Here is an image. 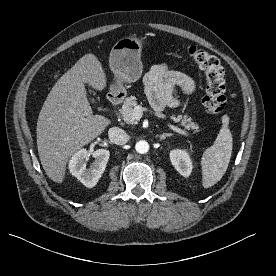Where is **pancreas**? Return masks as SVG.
Wrapping results in <instances>:
<instances>
[{
	"instance_id": "pancreas-1",
	"label": "pancreas",
	"mask_w": 276,
	"mask_h": 276,
	"mask_svg": "<svg viewBox=\"0 0 276 276\" xmlns=\"http://www.w3.org/2000/svg\"><path fill=\"white\" fill-rule=\"evenodd\" d=\"M138 106V101L135 96L127 97L124 101L123 107L120 110V113L122 117L124 118V121L128 124H134L136 123V120L133 119L132 112L133 109ZM170 119L173 120L176 123H180L185 129H192L197 130L199 129V125L192 121L191 118H189L187 115H171Z\"/></svg>"
}]
</instances>
